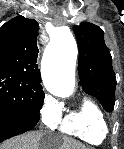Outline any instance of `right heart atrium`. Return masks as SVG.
Listing matches in <instances>:
<instances>
[{
    "label": "right heart atrium",
    "instance_id": "right-heart-atrium-1",
    "mask_svg": "<svg viewBox=\"0 0 124 149\" xmlns=\"http://www.w3.org/2000/svg\"><path fill=\"white\" fill-rule=\"evenodd\" d=\"M39 115L42 124L48 128L54 129L60 122V108L50 97H45Z\"/></svg>",
    "mask_w": 124,
    "mask_h": 149
}]
</instances>
